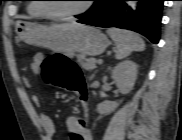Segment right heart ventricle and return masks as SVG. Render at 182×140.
Masks as SVG:
<instances>
[{
	"label": "right heart ventricle",
	"instance_id": "1",
	"mask_svg": "<svg viewBox=\"0 0 182 140\" xmlns=\"http://www.w3.org/2000/svg\"><path fill=\"white\" fill-rule=\"evenodd\" d=\"M32 1H39V0H32ZM28 13L32 17H42L44 16L43 12L40 10V5L36 2L30 3L28 5Z\"/></svg>",
	"mask_w": 182,
	"mask_h": 140
}]
</instances>
